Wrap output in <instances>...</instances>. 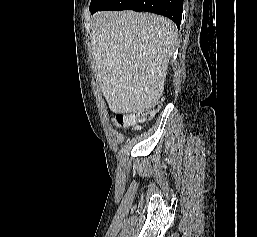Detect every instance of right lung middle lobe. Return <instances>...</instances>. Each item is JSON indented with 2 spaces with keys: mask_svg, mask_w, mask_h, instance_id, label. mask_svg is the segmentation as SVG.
<instances>
[{
  "mask_svg": "<svg viewBox=\"0 0 257 237\" xmlns=\"http://www.w3.org/2000/svg\"><path fill=\"white\" fill-rule=\"evenodd\" d=\"M110 0H92L90 7L91 8H100L102 6H104L107 2H109Z\"/></svg>",
  "mask_w": 257,
  "mask_h": 237,
  "instance_id": "1",
  "label": "right lung middle lobe"
}]
</instances>
